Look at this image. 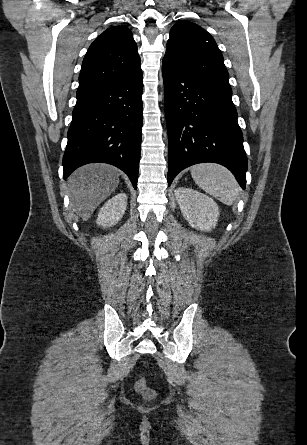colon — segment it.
Returning <instances> with one entry per match:
<instances>
[{"label":"colon","mask_w":307,"mask_h":445,"mask_svg":"<svg viewBox=\"0 0 307 445\" xmlns=\"http://www.w3.org/2000/svg\"><path fill=\"white\" fill-rule=\"evenodd\" d=\"M136 391L147 399H151L154 396L153 390L147 385L145 379H139L135 384Z\"/></svg>","instance_id":"5ec220e1"}]
</instances>
